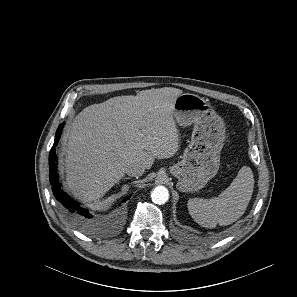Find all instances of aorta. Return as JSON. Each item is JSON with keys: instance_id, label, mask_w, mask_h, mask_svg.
<instances>
[{"instance_id": "762f6f07", "label": "aorta", "mask_w": 297, "mask_h": 297, "mask_svg": "<svg viewBox=\"0 0 297 297\" xmlns=\"http://www.w3.org/2000/svg\"><path fill=\"white\" fill-rule=\"evenodd\" d=\"M151 198L155 204L161 205L166 203L169 199L168 189L164 186L155 187L151 193Z\"/></svg>"}]
</instances>
